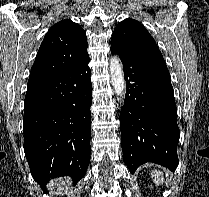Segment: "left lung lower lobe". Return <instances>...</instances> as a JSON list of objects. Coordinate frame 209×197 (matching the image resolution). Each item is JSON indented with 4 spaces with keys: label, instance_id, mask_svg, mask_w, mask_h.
Here are the masks:
<instances>
[{
    "label": "left lung lower lobe",
    "instance_id": "left-lung-lower-lobe-1",
    "mask_svg": "<svg viewBox=\"0 0 209 197\" xmlns=\"http://www.w3.org/2000/svg\"><path fill=\"white\" fill-rule=\"evenodd\" d=\"M117 53L126 78V100L120 113L123 160L131 173L143 163L178 166L176 104L167 66Z\"/></svg>",
    "mask_w": 209,
    "mask_h": 197
}]
</instances>
